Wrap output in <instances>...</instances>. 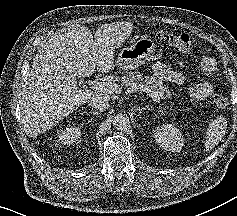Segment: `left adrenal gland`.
<instances>
[{"label":"left adrenal gland","instance_id":"a2214340","mask_svg":"<svg viewBox=\"0 0 237 216\" xmlns=\"http://www.w3.org/2000/svg\"><path fill=\"white\" fill-rule=\"evenodd\" d=\"M137 111H138V113L140 114L143 110H146V108H135Z\"/></svg>","mask_w":237,"mask_h":216}]
</instances>
